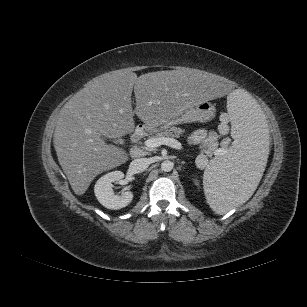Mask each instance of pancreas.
Returning a JSON list of instances; mask_svg holds the SVG:
<instances>
[{"label":"pancreas","mask_w":307,"mask_h":307,"mask_svg":"<svg viewBox=\"0 0 307 307\" xmlns=\"http://www.w3.org/2000/svg\"><path fill=\"white\" fill-rule=\"evenodd\" d=\"M184 133V130L181 129L180 127H167L163 129L161 132H158L153 136V138H161V137H175L179 138L182 134ZM218 144L213 139L209 144H204L202 146V152L205 153L206 155L210 156L212 153L216 150Z\"/></svg>","instance_id":"1"}]
</instances>
